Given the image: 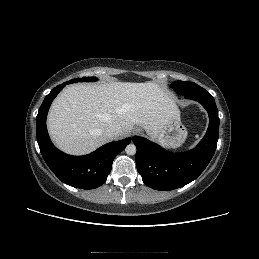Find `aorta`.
<instances>
[{"instance_id": "aorta-1", "label": "aorta", "mask_w": 259, "mask_h": 259, "mask_svg": "<svg viewBox=\"0 0 259 259\" xmlns=\"http://www.w3.org/2000/svg\"><path fill=\"white\" fill-rule=\"evenodd\" d=\"M125 152L128 155H135V153H136V146L133 143L127 145L126 148H125Z\"/></svg>"}]
</instances>
